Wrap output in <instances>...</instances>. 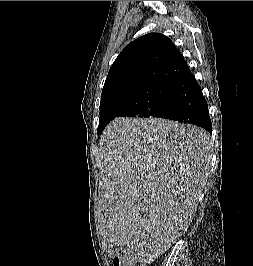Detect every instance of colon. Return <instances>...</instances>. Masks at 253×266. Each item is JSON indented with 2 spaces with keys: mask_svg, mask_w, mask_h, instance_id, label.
<instances>
[{
  "mask_svg": "<svg viewBox=\"0 0 253 266\" xmlns=\"http://www.w3.org/2000/svg\"><path fill=\"white\" fill-rule=\"evenodd\" d=\"M112 257L114 266H134L135 264L131 254L122 249H115Z\"/></svg>",
  "mask_w": 253,
  "mask_h": 266,
  "instance_id": "1",
  "label": "colon"
}]
</instances>
